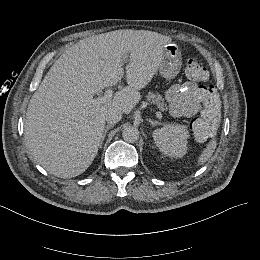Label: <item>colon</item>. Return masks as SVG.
Here are the masks:
<instances>
[{
    "label": "colon",
    "instance_id": "obj_1",
    "mask_svg": "<svg viewBox=\"0 0 260 260\" xmlns=\"http://www.w3.org/2000/svg\"><path fill=\"white\" fill-rule=\"evenodd\" d=\"M186 76L190 81H204L208 75L206 68L198 58H190L187 61Z\"/></svg>",
    "mask_w": 260,
    "mask_h": 260
}]
</instances>
